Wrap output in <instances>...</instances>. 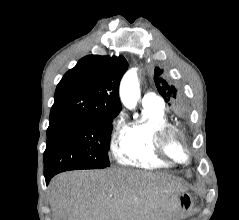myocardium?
Instances as JSON below:
<instances>
[{
	"label": "myocardium",
	"mask_w": 239,
	"mask_h": 220,
	"mask_svg": "<svg viewBox=\"0 0 239 220\" xmlns=\"http://www.w3.org/2000/svg\"><path fill=\"white\" fill-rule=\"evenodd\" d=\"M176 138L180 142L183 150V157L178 158L174 156L169 150V143L171 139ZM155 147L158 154L167 161L175 164H185L190 159V151L187 146L184 135L173 125H166L160 128L155 135Z\"/></svg>",
	"instance_id": "1"
}]
</instances>
